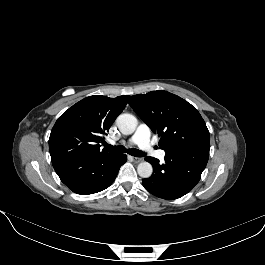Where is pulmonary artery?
Instances as JSON below:
<instances>
[{"label":"pulmonary artery","instance_id":"obj_1","mask_svg":"<svg viewBox=\"0 0 265 265\" xmlns=\"http://www.w3.org/2000/svg\"><path fill=\"white\" fill-rule=\"evenodd\" d=\"M149 136V128L146 125H140L135 134L129 139V143L137 145L143 152L149 155H155L156 151L149 139ZM158 155L160 158H163L165 153L161 151Z\"/></svg>","mask_w":265,"mask_h":265}]
</instances>
